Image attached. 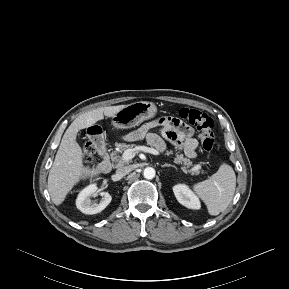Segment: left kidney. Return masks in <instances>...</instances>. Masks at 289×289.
<instances>
[{"instance_id": "1", "label": "left kidney", "mask_w": 289, "mask_h": 289, "mask_svg": "<svg viewBox=\"0 0 289 289\" xmlns=\"http://www.w3.org/2000/svg\"><path fill=\"white\" fill-rule=\"evenodd\" d=\"M174 195L177 201L189 209H200L201 204L198 197L184 184H178L173 187Z\"/></svg>"}]
</instances>
